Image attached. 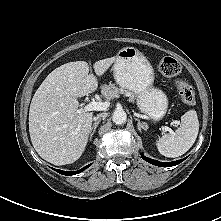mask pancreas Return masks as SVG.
Wrapping results in <instances>:
<instances>
[{
	"mask_svg": "<svg viewBox=\"0 0 221 221\" xmlns=\"http://www.w3.org/2000/svg\"><path fill=\"white\" fill-rule=\"evenodd\" d=\"M101 93L104 97L111 100L113 98H117L120 95H124L129 97V100L132 102L135 99L134 93L122 88V87H116L114 84L109 85H103L101 87Z\"/></svg>",
	"mask_w": 221,
	"mask_h": 221,
	"instance_id": "obj_1",
	"label": "pancreas"
}]
</instances>
